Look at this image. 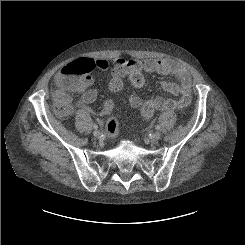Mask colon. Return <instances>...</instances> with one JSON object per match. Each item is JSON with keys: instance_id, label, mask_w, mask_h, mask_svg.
Returning a JSON list of instances; mask_svg holds the SVG:
<instances>
[{"instance_id": "1", "label": "colon", "mask_w": 245, "mask_h": 245, "mask_svg": "<svg viewBox=\"0 0 245 245\" xmlns=\"http://www.w3.org/2000/svg\"><path fill=\"white\" fill-rule=\"evenodd\" d=\"M97 70L95 60L87 57H77L68 62L62 68V75L56 80L58 101L57 111L60 116H66L70 113V105L67 99V93L80 91L87 87L92 80V73ZM129 82L132 87L140 89L144 84V78L139 72H133L129 76ZM122 86L120 78H114L111 84V91L115 92ZM115 106L112 100L107 99L104 103V112L110 115ZM155 112V106L152 102L146 101L140 108L141 116L144 119H150ZM117 122L115 119H110L107 123L106 130L110 135H115L117 132Z\"/></svg>"}]
</instances>
